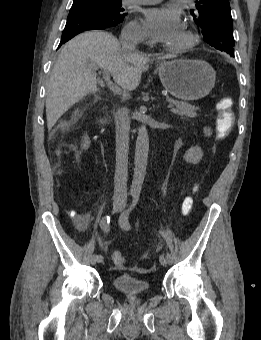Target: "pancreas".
Masks as SVG:
<instances>
[{
	"label": "pancreas",
	"mask_w": 261,
	"mask_h": 340,
	"mask_svg": "<svg viewBox=\"0 0 261 340\" xmlns=\"http://www.w3.org/2000/svg\"><path fill=\"white\" fill-rule=\"evenodd\" d=\"M168 102L175 105V108L171 109V112L185 118H195L197 117L198 107L195 105L188 104L186 102L176 101L173 99H167Z\"/></svg>",
	"instance_id": "cf45deb5"
}]
</instances>
